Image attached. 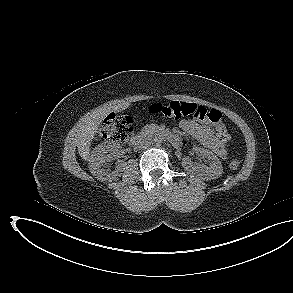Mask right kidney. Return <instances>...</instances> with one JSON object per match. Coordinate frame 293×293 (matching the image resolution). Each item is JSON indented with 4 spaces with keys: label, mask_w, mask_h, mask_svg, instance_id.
Here are the masks:
<instances>
[{
    "label": "right kidney",
    "mask_w": 293,
    "mask_h": 293,
    "mask_svg": "<svg viewBox=\"0 0 293 293\" xmlns=\"http://www.w3.org/2000/svg\"><path fill=\"white\" fill-rule=\"evenodd\" d=\"M120 144L116 142L102 143L94 148L89 159V169L97 180L112 181L121 175L124 163L119 161L115 170L104 169L114 156L119 153ZM109 153V154H108Z\"/></svg>",
    "instance_id": "obj_1"
}]
</instances>
